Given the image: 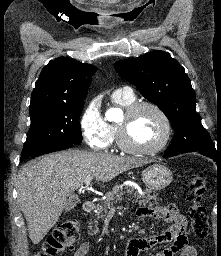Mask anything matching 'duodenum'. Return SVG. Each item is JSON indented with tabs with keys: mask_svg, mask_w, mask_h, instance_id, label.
I'll use <instances>...</instances> for the list:
<instances>
[{
	"mask_svg": "<svg viewBox=\"0 0 221 256\" xmlns=\"http://www.w3.org/2000/svg\"><path fill=\"white\" fill-rule=\"evenodd\" d=\"M82 208L85 212H91L95 208V203L91 200L85 201Z\"/></svg>",
	"mask_w": 221,
	"mask_h": 256,
	"instance_id": "1",
	"label": "duodenum"
}]
</instances>
